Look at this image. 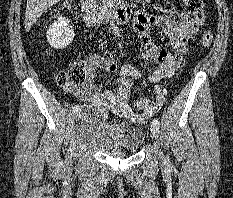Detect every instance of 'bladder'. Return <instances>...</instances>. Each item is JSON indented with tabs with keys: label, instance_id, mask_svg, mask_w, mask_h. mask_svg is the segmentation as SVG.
I'll use <instances>...</instances> for the list:
<instances>
[{
	"label": "bladder",
	"instance_id": "31cf9c89",
	"mask_svg": "<svg viewBox=\"0 0 233 198\" xmlns=\"http://www.w3.org/2000/svg\"><path fill=\"white\" fill-rule=\"evenodd\" d=\"M75 119L79 140L101 153L123 157L137 152L144 143V132L140 127L113 125L99 107H82Z\"/></svg>",
	"mask_w": 233,
	"mask_h": 198
}]
</instances>
